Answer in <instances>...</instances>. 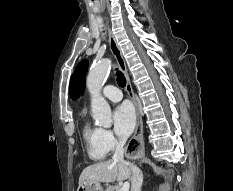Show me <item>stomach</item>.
Masks as SVG:
<instances>
[{"label":"stomach","instance_id":"1","mask_svg":"<svg viewBox=\"0 0 233 191\" xmlns=\"http://www.w3.org/2000/svg\"><path fill=\"white\" fill-rule=\"evenodd\" d=\"M77 191H104V190L99 182H93V183L79 185Z\"/></svg>","mask_w":233,"mask_h":191}]
</instances>
